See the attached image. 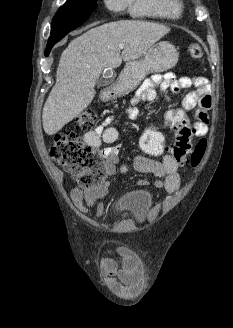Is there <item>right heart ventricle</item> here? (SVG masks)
Listing matches in <instances>:
<instances>
[{"label": "right heart ventricle", "mask_w": 233, "mask_h": 328, "mask_svg": "<svg viewBox=\"0 0 233 328\" xmlns=\"http://www.w3.org/2000/svg\"><path fill=\"white\" fill-rule=\"evenodd\" d=\"M125 5L135 17L176 19L182 12L180 0H126Z\"/></svg>", "instance_id": "obj_1"}]
</instances>
